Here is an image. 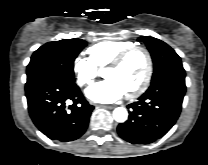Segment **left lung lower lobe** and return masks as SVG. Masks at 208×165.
<instances>
[{"label":"left lung lower lobe","instance_id":"1","mask_svg":"<svg viewBox=\"0 0 208 165\" xmlns=\"http://www.w3.org/2000/svg\"><path fill=\"white\" fill-rule=\"evenodd\" d=\"M185 91V71L152 81L138 101L128 105L129 119L117 127L120 137L132 144H148L164 136L180 115Z\"/></svg>","mask_w":208,"mask_h":165}]
</instances>
